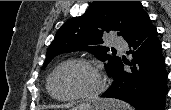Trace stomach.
Listing matches in <instances>:
<instances>
[{
    "label": "stomach",
    "instance_id": "stomach-1",
    "mask_svg": "<svg viewBox=\"0 0 171 110\" xmlns=\"http://www.w3.org/2000/svg\"><path fill=\"white\" fill-rule=\"evenodd\" d=\"M118 103L119 102L116 101L115 106H112L110 109L103 108V106H101V104L97 103V104L90 105L87 107L76 106V107L71 108L70 110H122V109H118V107H117Z\"/></svg>",
    "mask_w": 171,
    "mask_h": 110
}]
</instances>
